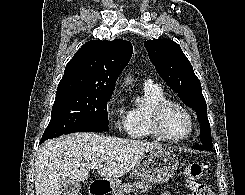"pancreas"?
<instances>
[{"mask_svg": "<svg viewBox=\"0 0 245 195\" xmlns=\"http://www.w3.org/2000/svg\"><path fill=\"white\" fill-rule=\"evenodd\" d=\"M149 190V185L144 182L124 183L117 187L111 195H137L146 193Z\"/></svg>", "mask_w": 245, "mask_h": 195, "instance_id": "cf45deb5", "label": "pancreas"}]
</instances>
